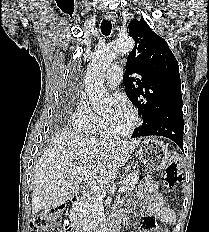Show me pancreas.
<instances>
[{"instance_id":"1","label":"pancreas","mask_w":209,"mask_h":232,"mask_svg":"<svg viewBox=\"0 0 209 232\" xmlns=\"http://www.w3.org/2000/svg\"><path fill=\"white\" fill-rule=\"evenodd\" d=\"M138 172H130L124 181L125 192L129 193L134 190L138 182ZM74 218L76 221L94 227L98 219L102 216V201L97 196L88 198L83 205L74 208Z\"/></svg>"}]
</instances>
